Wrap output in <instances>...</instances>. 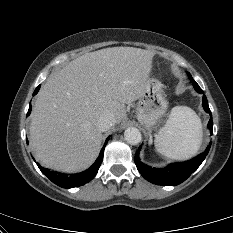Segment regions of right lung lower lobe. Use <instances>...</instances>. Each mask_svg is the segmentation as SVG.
Segmentation results:
<instances>
[{
	"instance_id": "1",
	"label": "right lung lower lobe",
	"mask_w": 233,
	"mask_h": 233,
	"mask_svg": "<svg viewBox=\"0 0 233 233\" xmlns=\"http://www.w3.org/2000/svg\"><path fill=\"white\" fill-rule=\"evenodd\" d=\"M40 85L35 89L33 95H36L39 91ZM31 112V104L28 110L27 115H29ZM109 138H107L105 145L107 143ZM28 143V141H27ZM104 147L102 148L100 155L98 159L95 161V163L86 171L78 173V174H72V175H64L60 173H55L52 171H49L45 168H42L40 165H38L39 169L41 170L42 173H44L53 183L56 185L63 187V188H73V187H78L82 186L85 183H88L91 181L95 175L98 172V169L102 163L103 160V155H104Z\"/></svg>"
}]
</instances>
